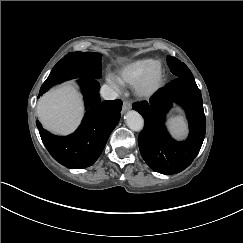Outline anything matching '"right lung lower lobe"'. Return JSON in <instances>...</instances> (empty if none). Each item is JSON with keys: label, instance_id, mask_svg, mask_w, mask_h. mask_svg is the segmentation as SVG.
Instances as JSON below:
<instances>
[{"label": "right lung lower lobe", "instance_id": "right-lung-lower-lobe-1", "mask_svg": "<svg viewBox=\"0 0 243 243\" xmlns=\"http://www.w3.org/2000/svg\"><path fill=\"white\" fill-rule=\"evenodd\" d=\"M78 82L84 94L86 113L73 134L55 136L36 121L41 139L51 156L71 169L89 167L98 159L119 122L122 109L121 100L100 101L99 82L96 78L82 77Z\"/></svg>", "mask_w": 243, "mask_h": 243}]
</instances>
